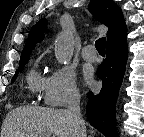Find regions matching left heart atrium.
I'll return each instance as SVG.
<instances>
[{"label":"left heart atrium","instance_id":"39dd6f15","mask_svg":"<svg viewBox=\"0 0 144 137\" xmlns=\"http://www.w3.org/2000/svg\"><path fill=\"white\" fill-rule=\"evenodd\" d=\"M85 78H86L87 81H89V82L91 81L92 74L89 70L85 71Z\"/></svg>","mask_w":144,"mask_h":137}]
</instances>
